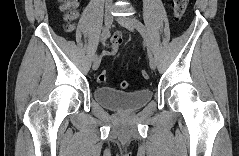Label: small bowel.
Instances as JSON below:
<instances>
[{
    "instance_id": "1",
    "label": "small bowel",
    "mask_w": 239,
    "mask_h": 156,
    "mask_svg": "<svg viewBox=\"0 0 239 156\" xmlns=\"http://www.w3.org/2000/svg\"><path fill=\"white\" fill-rule=\"evenodd\" d=\"M121 43H122V35L120 32H116L113 36L111 47L108 50H105L103 54L107 56L116 55Z\"/></svg>"
}]
</instances>
